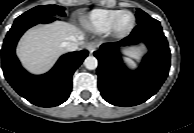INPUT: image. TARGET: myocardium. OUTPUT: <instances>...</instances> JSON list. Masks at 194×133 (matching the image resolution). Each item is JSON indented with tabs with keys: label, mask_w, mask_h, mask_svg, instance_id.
Returning <instances> with one entry per match:
<instances>
[{
	"label": "myocardium",
	"mask_w": 194,
	"mask_h": 133,
	"mask_svg": "<svg viewBox=\"0 0 194 133\" xmlns=\"http://www.w3.org/2000/svg\"><path fill=\"white\" fill-rule=\"evenodd\" d=\"M124 13H128V14L131 15V17H132V24H131V26L127 30L119 31L117 29V22H118V19L120 18V16L122 14H124ZM135 25H136V17L134 15V13L129 11V10H120L118 13L115 14V16L110 21L108 33L111 36H113L114 38L124 39V38L128 37L132 33V31L135 28Z\"/></svg>",
	"instance_id": "myocardium-1"
}]
</instances>
